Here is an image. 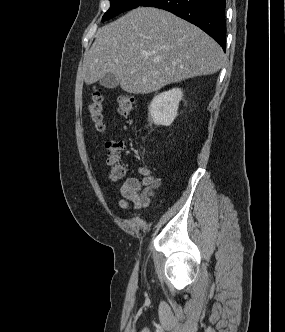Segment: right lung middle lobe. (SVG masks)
Returning <instances> with one entry per match:
<instances>
[{
    "label": "right lung middle lobe",
    "instance_id": "obj_1",
    "mask_svg": "<svg viewBox=\"0 0 285 332\" xmlns=\"http://www.w3.org/2000/svg\"><path fill=\"white\" fill-rule=\"evenodd\" d=\"M145 1L146 0H110V8L104 14L102 21L113 18L124 11L136 8Z\"/></svg>",
    "mask_w": 285,
    "mask_h": 332
}]
</instances>
